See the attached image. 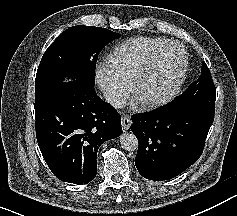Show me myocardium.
Masks as SVG:
<instances>
[{"mask_svg": "<svg viewBox=\"0 0 237 216\" xmlns=\"http://www.w3.org/2000/svg\"><path fill=\"white\" fill-rule=\"evenodd\" d=\"M176 56L182 57L183 63H182L180 73L177 77V80L170 87V89L166 91L162 96L155 99L140 97L138 90H139L142 76L144 74H148L160 61H164L168 57H176ZM187 62H188L187 53L180 44L171 48L162 49L161 52L155 53L152 57H150L149 60L146 61L145 64L142 66V72L138 74V76L135 78V81L133 83L132 90H131V97H130L133 107L136 109L157 107L166 103L170 99H172L176 95V93L180 90V88L182 87L184 83L186 69H187Z\"/></svg>", "mask_w": 237, "mask_h": 216, "instance_id": "f54148a6", "label": "myocardium"}]
</instances>
